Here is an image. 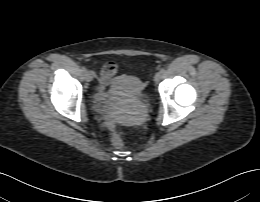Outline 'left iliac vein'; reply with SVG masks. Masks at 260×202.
<instances>
[{
	"label": "left iliac vein",
	"mask_w": 260,
	"mask_h": 202,
	"mask_svg": "<svg viewBox=\"0 0 260 202\" xmlns=\"http://www.w3.org/2000/svg\"><path fill=\"white\" fill-rule=\"evenodd\" d=\"M162 78V73L159 71L154 75V81L155 83H158Z\"/></svg>",
	"instance_id": "1"
}]
</instances>
